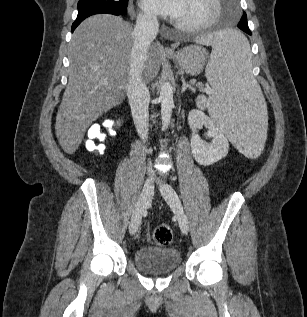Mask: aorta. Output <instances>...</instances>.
<instances>
[{
  "instance_id": "762f6f07",
  "label": "aorta",
  "mask_w": 307,
  "mask_h": 317,
  "mask_svg": "<svg viewBox=\"0 0 307 317\" xmlns=\"http://www.w3.org/2000/svg\"><path fill=\"white\" fill-rule=\"evenodd\" d=\"M160 102L162 128L167 129L170 124L172 109L174 107L173 87L169 82H165L161 87Z\"/></svg>"
}]
</instances>
